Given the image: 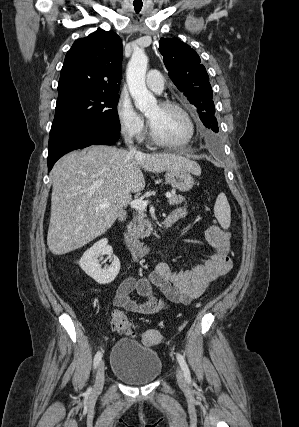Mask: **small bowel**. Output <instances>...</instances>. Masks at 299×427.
<instances>
[{
    "label": "small bowel",
    "mask_w": 299,
    "mask_h": 427,
    "mask_svg": "<svg viewBox=\"0 0 299 427\" xmlns=\"http://www.w3.org/2000/svg\"><path fill=\"white\" fill-rule=\"evenodd\" d=\"M185 215L186 211L180 208L169 216L177 221ZM206 238L214 253L201 264L187 271H174L168 264L159 263L145 277L125 279L117 290L113 305L149 315L168 309L170 304H188L199 298L211 281L231 268V260L227 256L230 233L217 225H211L206 230ZM152 285L161 290L162 297L156 298L152 294ZM133 291L142 297V301L132 297Z\"/></svg>",
    "instance_id": "1"
}]
</instances>
